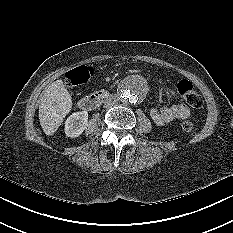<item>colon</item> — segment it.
I'll return each instance as SVG.
<instances>
[{"label":"colon","mask_w":233,"mask_h":233,"mask_svg":"<svg viewBox=\"0 0 233 233\" xmlns=\"http://www.w3.org/2000/svg\"><path fill=\"white\" fill-rule=\"evenodd\" d=\"M92 68L79 66L66 74V83L69 87H76L85 84L93 75ZM177 91L181 97L193 108H200L203 104L202 97L194 89L192 83L188 80H180L177 84ZM195 124L192 120H185L182 123V129L190 132L194 129Z\"/></svg>","instance_id":"5ec220e1"}]
</instances>
